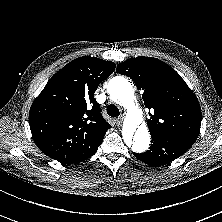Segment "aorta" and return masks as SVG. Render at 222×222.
Instances as JSON below:
<instances>
[{
    "label": "aorta",
    "instance_id": "1",
    "mask_svg": "<svg viewBox=\"0 0 222 222\" xmlns=\"http://www.w3.org/2000/svg\"><path fill=\"white\" fill-rule=\"evenodd\" d=\"M111 99L127 109V118L123 127V139L134 152H145L150 145V134L142 122L140 110L134 103L132 85L128 79L117 76L108 83Z\"/></svg>",
    "mask_w": 222,
    "mask_h": 222
}]
</instances>
